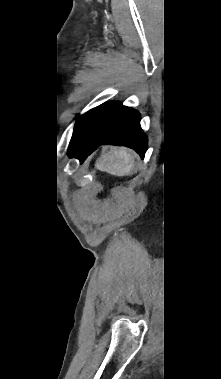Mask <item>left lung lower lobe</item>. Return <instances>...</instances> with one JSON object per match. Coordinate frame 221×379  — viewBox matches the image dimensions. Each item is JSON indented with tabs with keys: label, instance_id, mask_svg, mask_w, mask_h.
Here are the masks:
<instances>
[{
	"label": "left lung lower lobe",
	"instance_id": "obj_1",
	"mask_svg": "<svg viewBox=\"0 0 221 379\" xmlns=\"http://www.w3.org/2000/svg\"><path fill=\"white\" fill-rule=\"evenodd\" d=\"M139 122L137 111L120 102H106L90 110L77 125L68 155L78 158L82 163L98 146L115 144L133 148L143 158L147 138Z\"/></svg>",
	"mask_w": 221,
	"mask_h": 379
}]
</instances>
